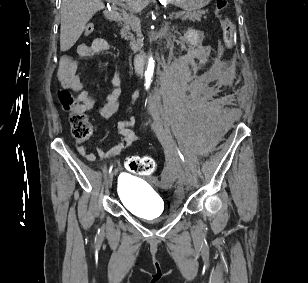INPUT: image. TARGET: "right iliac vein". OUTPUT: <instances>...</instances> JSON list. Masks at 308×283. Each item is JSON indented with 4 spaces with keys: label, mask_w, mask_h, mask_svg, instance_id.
Listing matches in <instances>:
<instances>
[{
    "label": "right iliac vein",
    "mask_w": 308,
    "mask_h": 283,
    "mask_svg": "<svg viewBox=\"0 0 308 283\" xmlns=\"http://www.w3.org/2000/svg\"><path fill=\"white\" fill-rule=\"evenodd\" d=\"M112 180H113V173H110L109 177H108V185L111 187L112 185Z\"/></svg>",
    "instance_id": "63e3f726"
}]
</instances>
